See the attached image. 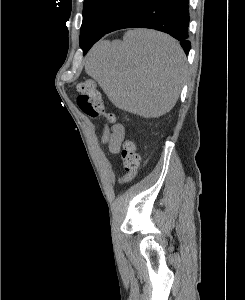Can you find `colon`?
I'll return each instance as SVG.
<instances>
[{
  "label": "colon",
  "instance_id": "5ec220e1",
  "mask_svg": "<svg viewBox=\"0 0 245 300\" xmlns=\"http://www.w3.org/2000/svg\"><path fill=\"white\" fill-rule=\"evenodd\" d=\"M76 102L81 111L89 116L96 118L105 117L112 123L116 120L114 114L106 113L101 93L93 80H85L78 85ZM121 155L125 174L120 181L125 183L131 181L136 176L140 165V156L134 140H125Z\"/></svg>",
  "mask_w": 245,
  "mask_h": 300
}]
</instances>
